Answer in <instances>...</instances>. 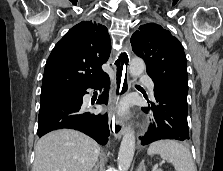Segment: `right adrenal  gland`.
<instances>
[{"label": "right adrenal gland", "mask_w": 223, "mask_h": 171, "mask_svg": "<svg viewBox=\"0 0 223 171\" xmlns=\"http://www.w3.org/2000/svg\"><path fill=\"white\" fill-rule=\"evenodd\" d=\"M98 165H99V162L97 161V163L95 164V167L92 171H98Z\"/></svg>", "instance_id": "1"}]
</instances>
